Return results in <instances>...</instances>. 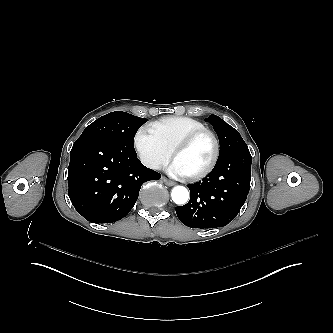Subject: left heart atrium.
I'll list each match as a JSON object with an SVG mask.
<instances>
[{
	"label": "left heart atrium",
	"instance_id": "1",
	"mask_svg": "<svg viewBox=\"0 0 333 333\" xmlns=\"http://www.w3.org/2000/svg\"><path fill=\"white\" fill-rule=\"evenodd\" d=\"M166 172L175 178H182L185 177L186 174L184 173V171L176 164L175 161L171 160L166 168Z\"/></svg>",
	"mask_w": 333,
	"mask_h": 333
}]
</instances>
